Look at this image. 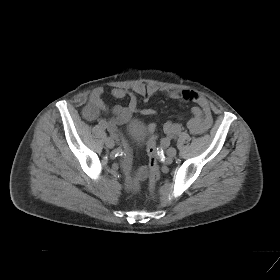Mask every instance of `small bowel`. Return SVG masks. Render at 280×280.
Returning a JSON list of instances; mask_svg holds the SVG:
<instances>
[{
	"label": "small bowel",
	"mask_w": 280,
	"mask_h": 280,
	"mask_svg": "<svg viewBox=\"0 0 280 280\" xmlns=\"http://www.w3.org/2000/svg\"><path fill=\"white\" fill-rule=\"evenodd\" d=\"M111 94L117 99L128 97V105L110 107L102 98L103 89L98 87L91 93L88 102L82 110V115L86 120L93 121L102 113L111 112L113 117L109 121L108 129L112 134L117 135L118 125L126 122L132 113L138 111V102L134 93L122 88H114L111 91ZM169 96L173 99L190 100L197 104L191 109L192 116L187 122V128L192 134H203L211 127L213 117L210 104L205 97L190 90L171 91ZM141 113L145 116H152L155 114V111L151 108H145L141 110ZM171 126L172 122L170 121L164 124L163 130L165 137L161 140L162 146H167L171 140ZM154 128L155 124L149 125V130L152 131ZM121 167L126 176L129 187H135L139 180L143 179L147 175V170L145 168L137 170L134 169L132 160L129 156L124 158Z\"/></svg>",
	"instance_id": "small-bowel-1"
}]
</instances>
